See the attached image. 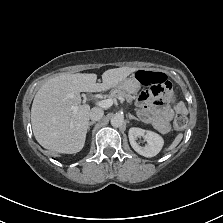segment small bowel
Masks as SVG:
<instances>
[{
    "label": "small bowel",
    "mask_w": 223,
    "mask_h": 223,
    "mask_svg": "<svg viewBox=\"0 0 223 223\" xmlns=\"http://www.w3.org/2000/svg\"><path fill=\"white\" fill-rule=\"evenodd\" d=\"M137 105L142 117L162 133L170 130L174 113L185 110L184 105L175 100L170 83L154 85L143 91L138 96Z\"/></svg>",
    "instance_id": "1"
}]
</instances>
